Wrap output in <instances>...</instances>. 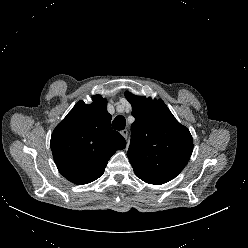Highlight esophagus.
<instances>
[{
    "instance_id": "1",
    "label": "esophagus",
    "mask_w": 248,
    "mask_h": 248,
    "mask_svg": "<svg viewBox=\"0 0 248 248\" xmlns=\"http://www.w3.org/2000/svg\"><path fill=\"white\" fill-rule=\"evenodd\" d=\"M120 133H121V135H122L125 139H127V137H128V130H127V129L122 130Z\"/></svg>"
}]
</instances>
